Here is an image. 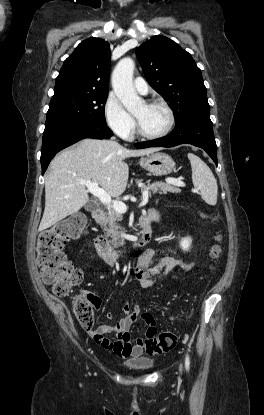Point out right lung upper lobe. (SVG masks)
Listing matches in <instances>:
<instances>
[{
  "instance_id": "cb5924a9",
  "label": "right lung upper lobe",
  "mask_w": 264,
  "mask_h": 415,
  "mask_svg": "<svg viewBox=\"0 0 264 415\" xmlns=\"http://www.w3.org/2000/svg\"><path fill=\"white\" fill-rule=\"evenodd\" d=\"M110 45L100 38L81 42L65 60L56 78L54 95L67 92L108 93Z\"/></svg>"
}]
</instances>
